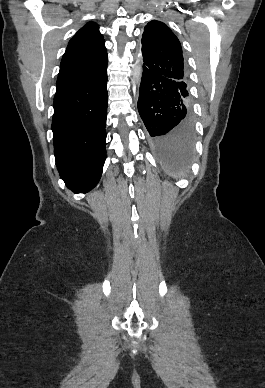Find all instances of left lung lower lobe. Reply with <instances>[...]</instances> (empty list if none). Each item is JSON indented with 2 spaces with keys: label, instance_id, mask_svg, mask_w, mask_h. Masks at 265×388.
<instances>
[{
  "label": "left lung lower lobe",
  "instance_id": "obj_1",
  "mask_svg": "<svg viewBox=\"0 0 265 388\" xmlns=\"http://www.w3.org/2000/svg\"><path fill=\"white\" fill-rule=\"evenodd\" d=\"M183 97L179 82L143 67L138 111L148 142L171 171L186 169L193 152L192 110Z\"/></svg>",
  "mask_w": 265,
  "mask_h": 388
}]
</instances>
